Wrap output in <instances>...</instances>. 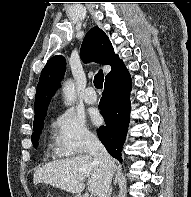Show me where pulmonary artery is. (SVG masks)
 <instances>
[{"label": "pulmonary artery", "instance_id": "e3ab8cb5", "mask_svg": "<svg viewBox=\"0 0 191 197\" xmlns=\"http://www.w3.org/2000/svg\"><path fill=\"white\" fill-rule=\"evenodd\" d=\"M83 98L87 104H94L97 101V96H96L95 91L92 87H88L85 90Z\"/></svg>", "mask_w": 191, "mask_h": 197}]
</instances>
